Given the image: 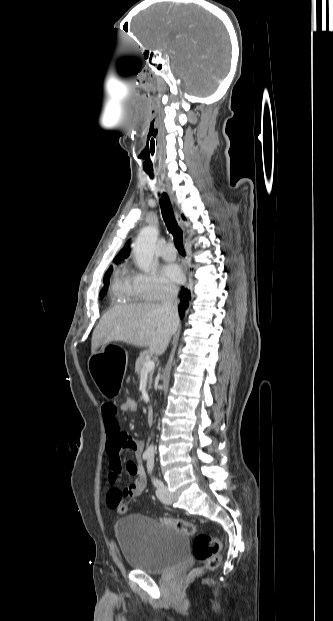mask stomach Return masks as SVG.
Wrapping results in <instances>:
<instances>
[{
    "instance_id": "obj_1",
    "label": "stomach",
    "mask_w": 333,
    "mask_h": 621,
    "mask_svg": "<svg viewBox=\"0 0 333 621\" xmlns=\"http://www.w3.org/2000/svg\"><path fill=\"white\" fill-rule=\"evenodd\" d=\"M89 362L91 378L98 393L116 401L123 388L124 371L128 365L124 344L119 340L104 344L103 350L92 351Z\"/></svg>"
}]
</instances>
